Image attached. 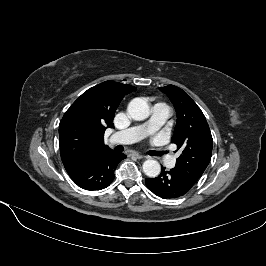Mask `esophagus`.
I'll list each match as a JSON object with an SVG mask.
<instances>
[{
  "instance_id": "obj_1",
  "label": "esophagus",
  "mask_w": 266,
  "mask_h": 266,
  "mask_svg": "<svg viewBox=\"0 0 266 266\" xmlns=\"http://www.w3.org/2000/svg\"><path fill=\"white\" fill-rule=\"evenodd\" d=\"M132 156L136 157L137 159H143L145 156L139 154V153H133Z\"/></svg>"
}]
</instances>
